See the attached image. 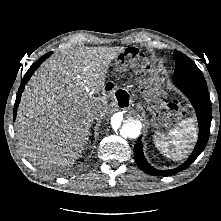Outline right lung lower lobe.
I'll list each match as a JSON object with an SVG mask.
<instances>
[{"label":"right lung lower lobe","instance_id":"obj_1","mask_svg":"<svg viewBox=\"0 0 221 221\" xmlns=\"http://www.w3.org/2000/svg\"><path fill=\"white\" fill-rule=\"evenodd\" d=\"M52 54V52H49L45 55H43L38 61H36L30 68L29 70L26 72V74L24 75V78L22 80V84L19 87L18 90V94L16 97V101H15V106H14V117H16V113H17V107L18 104L20 102L21 99V94L24 90L25 84L28 82V80L30 79V77L32 76V74L34 73V71L39 67V65L46 59L48 58L50 55Z\"/></svg>","mask_w":221,"mask_h":221}]
</instances>
